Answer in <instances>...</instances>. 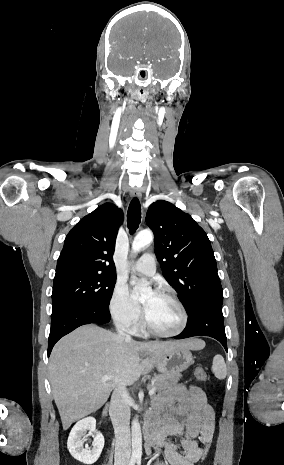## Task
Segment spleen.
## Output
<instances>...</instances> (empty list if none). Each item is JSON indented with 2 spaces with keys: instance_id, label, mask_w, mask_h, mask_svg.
Returning <instances> with one entry per match:
<instances>
[{
  "instance_id": "spleen-1",
  "label": "spleen",
  "mask_w": 284,
  "mask_h": 465,
  "mask_svg": "<svg viewBox=\"0 0 284 465\" xmlns=\"http://www.w3.org/2000/svg\"><path fill=\"white\" fill-rule=\"evenodd\" d=\"M212 371L216 379H225L227 375V367L221 355H215L212 363Z\"/></svg>"
}]
</instances>
